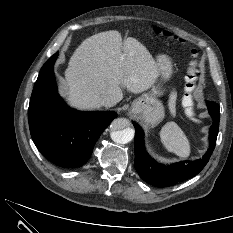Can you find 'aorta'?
Segmentation results:
<instances>
[{
    "instance_id": "1",
    "label": "aorta",
    "mask_w": 233,
    "mask_h": 233,
    "mask_svg": "<svg viewBox=\"0 0 233 233\" xmlns=\"http://www.w3.org/2000/svg\"><path fill=\"white\" fill-rule=\"evenodd\" d=\"M111 138L119 144L129 143L134 137V130L130 127V121L126 118L114 119L110 125Z\"/></svg>"
}]
</instances>
